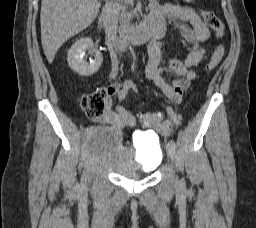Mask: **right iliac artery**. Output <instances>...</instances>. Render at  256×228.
Wrapping results in <instances>:
<instances>
[{"instance_id":"1","label":"right iliac artery","mask_w":256,"mask_h":228,"mask_svg":"<svg viewBox=\"0 0 256 228\" xmlns=\"http://www.w3.org/2000/svg\"><path fill=\"white\" fill-rule=\"evenodd\" d=\"M94 129H95V128H94L93 126L88 127V128L86 129V134H87V135L93 134V130H94Z\"/></svg>"}]
</instances>
